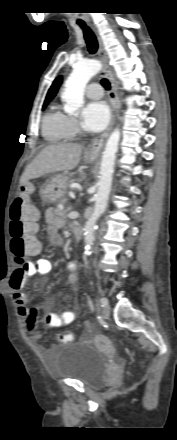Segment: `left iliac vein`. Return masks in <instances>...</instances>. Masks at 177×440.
<instances>
[{
	"label": "left iliac vein",
	"instance_id": "left-iliac-vein-1",
	"mask_svg": "<svg viewBox=\"0 0 177 440\" xmlns=\"http://www.w3.org/2000/svg\"><path fill=\"white\" fill-rule=\"evenodd\" d=\"M101 315L104 319H108L110 316V307L107 302V304L101 309Z\"/></svg>",
	"mask_w": 177,
	"mask_h": 440
}]
</instances>
